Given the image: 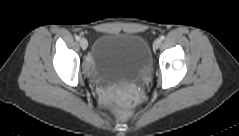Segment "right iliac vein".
<instances>
[{
	"instance_id": "63e3f726",
	"label": "right iliac vein",
	"mask_w": 239,
	"mask_h": 136,
	"mask_svg": "<svg viewBox=\"0 0 239 136\" xmlns=\"http://www.w3.org/2000/svg\"><path fill=\"white\" fill-rule=\"evenodd\" d=\"M80 46L82 49H86L88 47V41L85 38H82L80 41Z\"/></svg>"
}]
</instances>
